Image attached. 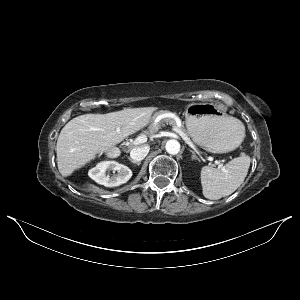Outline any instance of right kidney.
<instances>
[{
	"label": "right kidney",
	"instance_id": "ca27d5eb",
	"mask_svg": "<svg viewBox=\"0 0 300 300\" xmlns=\"http://www.w3.org/2000/svg\"><path fill=\"white\" fill-rule=\"evenodd\" d=\"M107 171H113V176H109ZM88 175L98 184L105 187H116L126 183L132 176V171L125 165L115 161H103L90 169Z\"/></svg>",
	"mask_w": 300,
	"mask_h": 300
}]
</instances>
